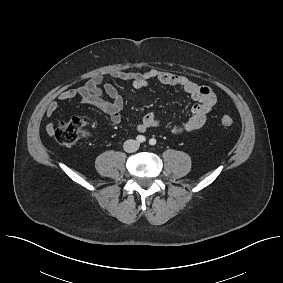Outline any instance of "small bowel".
I'll return each mask as SVG.
<instances>
[{
	"label": "small bowel",
	"instance_id": "1",
	"mask_svg": "<svg viewBox=\"0 0 283 283\" xmlns=\"http://www.w3.org/2000/svg\"><path fill=\"white\" fill-rule=\"evenodd\" d=\"M111 77L129 81L135 88H144L150 82L157 81L164 85L180 88L194 101V104L186 110V120L181 123L165 122L154 112L146 113L135 126L140 133L157 127H166L173 135L196 131L205 124L209 112L216 103V95L210 87L176 73L158 69H149L144 72L118 70L112 72ZM76 97L81 103L93 106L105 113L114 124L120 123L124 100L116 87L112 83L104 82L101 76H95L82 86L61 92L58 99L71 100ZM58 109L57 101L48 103L45 109L46 116H53ZM47 131L52 133V123L47 126Z\"/></svg>",
	"mask_w": 283,
	"mask_h": 283
}]
</instances>
